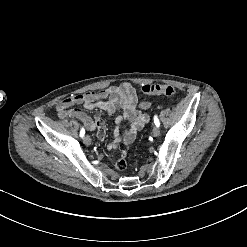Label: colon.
<instances>
[{"label": "colon", "mask_w": 247, "mask_h": 247, "mask_svg": "<svg viewBox=\"0 0 247 247\" xmlns=\"http://www.w3.org/2000/svg\"><path fill=\"white\" fill-rule=\"evenodd\" d=\"M140 91L144 95H164V96H177V89L168 84H144L141 86Z\"/></svg>", "instance_id": "1"}]
</instances>
